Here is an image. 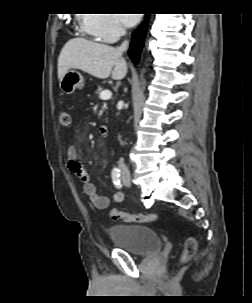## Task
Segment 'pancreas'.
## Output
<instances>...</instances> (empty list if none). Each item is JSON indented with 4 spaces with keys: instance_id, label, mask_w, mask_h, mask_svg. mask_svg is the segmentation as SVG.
Wrapping results in <instances>:
<instances>
[{
    "instance_id": "pancreas-1",
    "label": "pancreas",
    "mask_w": 252,
    "mask_h": 303,
    "mask_svg": "<svg viewBox=\"0 0 252 303\" xmlns=\"http://www.w3.org/2000/svg\"><path fill=\"white\" fill-rule=\"evenodd\" d=\"M102 90H103V88L101 86H99L97 88V90L95 91V94L98 95V96H100V93L102 92ZM104 110H105V107H102L100 113H102Z\"/></svg>"
}]
</instances>
